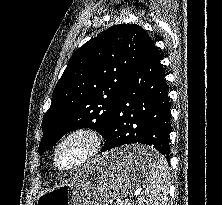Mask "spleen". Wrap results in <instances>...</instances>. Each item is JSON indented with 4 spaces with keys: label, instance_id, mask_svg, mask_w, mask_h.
<instances>
[{
    "label": "spleen",
    "instance_id": "3e777b00",
    "mask_svg": "<svg viewBox=\"0 0 222 205\" xmlns=\"http://www.w3.org/2000/svg\"><path fill=\"white\" fill-rule=\"evenodd\" d=\"M148 167L145 194L138 198L137 203L138 205H167V161L162 155L157 154L148 159Z\"/></svg>",
    "mask_w": 222,
    "mask_h": 205
}]
</instances>
